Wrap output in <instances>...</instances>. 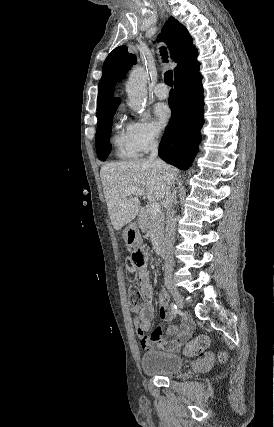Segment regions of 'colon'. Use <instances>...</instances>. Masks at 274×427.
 Segmentation results:
<instances>
[{
  "label": "colon",
  "instance_id": "colon-1",
  "mask_svg": "<svg viewBox=\"0 0 274 427\" xmlns=\"http://www.w3.org/2000/svg\"><path fill=\"white\" fill-rule=\"evenodd\" d=\"M128 260L129 264L126 267V270L129 275L133 276L136 268L144 264L146 256L141 250H136L135 252H131ZM131 283L132 284L129 287V307L137 308L141 305L143 300L142 290L137 286L135 278L131 279ZM143 339L146 338L143 337ZM210 343L211 340L208 334H199L184 345V355L193 356L194 354L202 352L210 346ZM219 358L224 362L228 359V354L222 352L220 353Z\"/></svg>",
  "mask_w": 274,
  "mask_h": 427
}]
</instances>
